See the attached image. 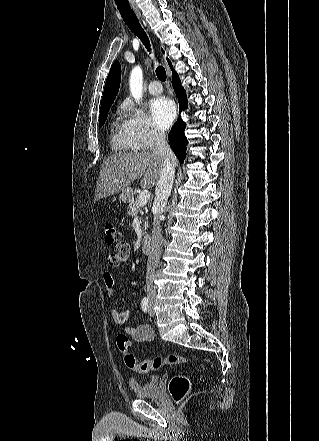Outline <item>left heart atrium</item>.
<instances>
[{
    "instance_id": "1",
    "label": "left heart atrium",
    "mask_w": 319,
    "mask_h": 441,
    "mask_svg": "<svg viewBox=\"0 0 319 441\" xmlns=\"http://www.w3.org/2000/svg\"><path fill=\"white\" fill-rule=\"evenodd\" d=\"M150 112L155 124L161 129H167L174 120L176 106L171 99L160 96L151 101Z\"/></svg>"
}]
</instances>
